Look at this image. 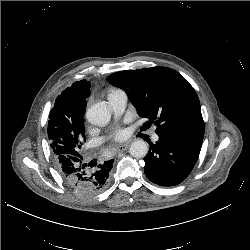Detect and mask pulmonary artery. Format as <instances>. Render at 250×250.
I'll use <instances>...</instances> for the list:
<instances>
[{
	"label": "pulmonary artery",
	"mask_w": 250,
	"mask_h": 250,
	"mask_svg": "<svg viewBox=\"0 0 250 250\" xmlns=\"http://www.w3.org/2000/svg\"><path fill=\"white\" fill-rule=\"evenodd\" d=\"M108 101L115 115H120L124 112L127 104V94L120 89L112 90L108 94ZM158 135H153V140L158 141Z\"/></svg>",
	"instance_id": "e3ab8cb5"
}]
</instances>
